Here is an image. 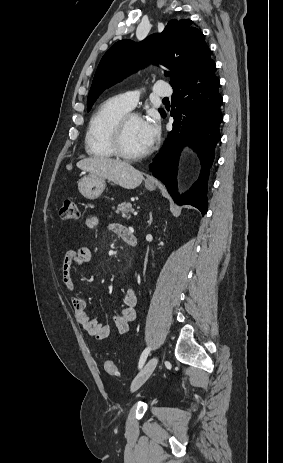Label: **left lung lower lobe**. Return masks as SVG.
<instances>
[{
    "mask_svg": "<svg viewBox=\"0 0 283 463\" xmlns=\"http://www.w3.org/2000/svg\"><path fill=\"white\" fill-rule=\"evenodd\" d=\"M215 69V63L210 61L173 87L170 113L174 118L173 129L150 167L153 175L165 184L178 204L192 205L202 215L207 212V180L214 160V149L220 140L219 125L223 119L220 110L223 99L219 94L220 81L215 76ZM186 144L195 148L201 173L191 188L179 198L176 182L178 157Z\"/></svg>",
    "mask_w": 283,
    "mask_h": 463,
    "instance_id": "obj_1",
    "label": "left lung lower lobe"
}]
</instances>
